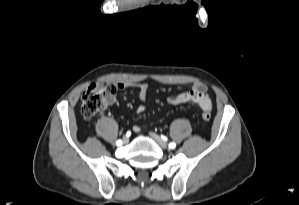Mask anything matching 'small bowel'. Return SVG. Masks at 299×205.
<instances>
[{"label": "small bowel", "instance_id": "obj_1", "mask_svg": "<svg viewBox=\"0 0 299 205\" xmlns=\"http://www.w3.org/2000/svg\"><path fill=\"white\" fill-rule=\"evenodd\" d=\"M119 89L135 88L138 91L139 99L145 102L148 97L149 86L147 83H126L120 82L117 84ZM168 102L174 106L196 104L204 111L212 109V102L207 94L206 87L201 83H194L190 90L179 93L168 98ZM145 111L143 104L139 105L136 109L137 114H142ZM133 131L138 133L141 128L139 125L133 126Z\"/></svg>", "mask_w": 299, "mask_h": 205}]
</instances>
